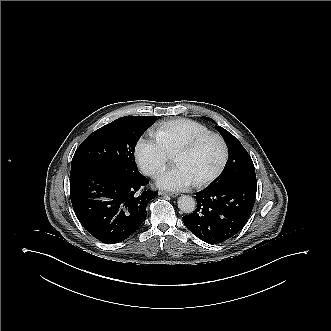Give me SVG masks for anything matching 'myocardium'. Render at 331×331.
Listing matches in <instances>:
<instances>
[{
	"label": "myocardium",
	"instance_id": "obj_1",
	"mask_svg": "<svg viewBox=\"0 0 331 331\" xmlns=\"http://www.w3.org/2000/svg\"><path fill=\"white\" fill-rule=\"evenodd\" d=\"M207 140H215L220 147V161L214 171L199 179L194 180L195 185H204L207 183H210L214 181L224 170L226 163H227V158H228V153H227V148L225 145L224 140L222 137L216 133H205L202 134L198 137L193 138L192 140L188 141L186 144H184L175 154V162L178 163L182 159L184 155L195 149L197 146H199L201 143L207 141Z\"/></svg>",
	"mask_w": 331,
	"mask_h": 331
}]
</instances>
